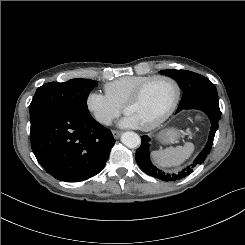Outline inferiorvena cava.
<instances>
[{
	"label": "inferior vena cava",
	"mask_w": 245,
	"mask_h": 245,
	"mask_svg": "<svg viewBox=\"0 0 245 245\" xmlns=\"http://www.w3.org/2000/svg\"><path fill=\"white\" fill-rule=\"evenodd\" d=\"M111 119H106L105 121H104V124H106V125H110L111 124Z\"/></svg>",
	"instance_id": "inferior-vena-cava-1"
}]
</instances>
